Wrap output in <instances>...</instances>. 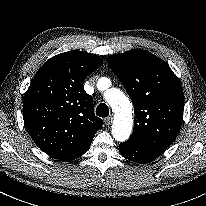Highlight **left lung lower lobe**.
<instances>
[{
  "mask_svg": "<svg viewBox=\"0 0 206 206\" xmlns=\"http://www.w3.org/2000/svg\"><path fill=\"white\" fill-rule=\"evenodd\" d=\"M121 155L136 163H148L161 155L162 152L149 149L131 142L120 143Z\"/></svg>",
  "mask_w": 206,
  "mask_h": 206,
  "instance_id": "0a47b994",
  "label": "left lung lower lobe"
}]
</instances>
